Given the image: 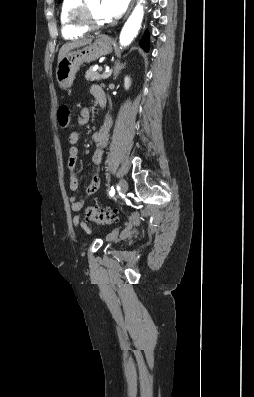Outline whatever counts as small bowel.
Wrapping results in <instances>:
<instances>
[{
  "mask_svg": "<svg viewBox=\"0 0 254 397\" xmlns=\"http://www.w3.org/2000/svg\"><path fill=\"white\" fill-rule=\"evenodd\" d=\"M93 97L100 102L102 98H105L104 91L99 85H93L90 89ZM90 119V111L88 108H83L77 118L78 126H84L88 123ZM112 125V119L109 115L105 117L103 125L100 130L92 135V139L95 143V151L92 156V163L94 166L92 177L87 184L84 191V198L79 199L76 196H71L69 198L70 207L73 212H79L84 208L85 199L92 196L97 192L100 186V163L102 160L103 152L108 144V132ZM80 140V133L78 131H73L69 134L68 141L70 144L69 148V158H68V170H69V187L72 191H77L79 187V180L76 174V167L79 158V150L77 144ZM73 225L78 230H84L90 233V229L87 224L83 221L80 216H75L73 218ZM132 234V225L127 223L124 229L121 231V237H128ZM119 232L117 230L113 231L109 235V239L114 240L118 237Z\"/></svg>",
  "mask_w": 254,
  "mask_h": 397,
  "instance_id": "small-bowel-1",
  "label": "small bowel"
}]
</instances>
